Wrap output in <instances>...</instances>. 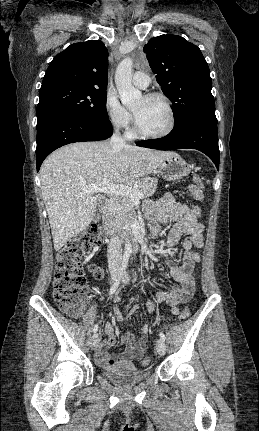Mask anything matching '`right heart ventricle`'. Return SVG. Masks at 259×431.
Returning <instances> with one entry per match:
<instances>
[{
  "label": "right heart ventricle",
  "instance_id": "1",
  "mask_svg": "<svg viewBox=\"0 0 259 431\" xmlns=\"http://www.w3.org/2000/svg\"><path fill=\"white\" fill-rule=\"evenodd\" d=\"M128 136H130V137L134 136V132L133 131H129L128 132Z\"/></svg>",
  "mask_w": 259,
  "mask_h": 431
}]
</instances>
